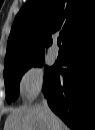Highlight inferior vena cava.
Here are the masks:
<instances>
[{"instance_id":"obj_1","label":"inferior vena cava","mask_w":95,"mask_h":130,"mask_svg":"<svg viewBox=\"0 0 95 130\" xmlns=\"http://www.w3.org/2000/svg\"><path fill=\"white\" fill-rule=\"evenodd\" d=\"M42 107L43 109L45 110V112L50 116L52 117L53 116V113L48 105V101L47 99L43 98V101H42Z\"/></svg>"}]
</instances>
